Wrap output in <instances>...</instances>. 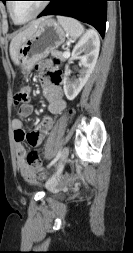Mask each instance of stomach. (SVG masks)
Segmentation results:
<instances>
[{
    "mask_svg": "<svg viewBox=\"0 0 133 253\" xmlns=\"http://www.w3.org/2000/svg\"><path fill=\"white\" fill-rule=\"evenodd\" d=\"M64 41L65 32L62 27L54 19L47 18L19 48L17 64L23 71L29 72L37 61L55 51Z\"/></svg>",
    "mask_w": 133,
    "mask_h": 253,
    "instance_id": "1",
    "label": "stomach"
}]
</instances>
